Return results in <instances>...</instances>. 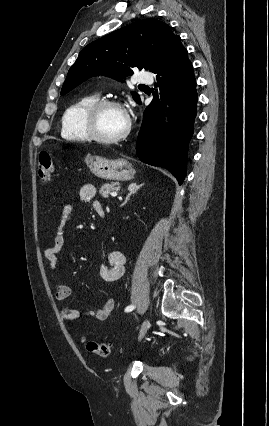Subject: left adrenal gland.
Wrapping results in <instances>:
<instances>
[{
  "label": "left adrenal gland",
  "instance_id": "a2214340",
  "mask_svg": "<svg viewBox=\"0 0 269 426\" xmlns=\"http://www.w3.org/2000/svg\"><path fill=\"white\" fill-rule=\"evenodd\" d=\"M143 186V184H140V185H137V183H131L129 186H128V191H129V193H128V195L126 196V199H125V201L123 202V204H122V206L123 205H125L128 201H129V199H130V197H131V195L132 194H135L141 187Z\"/></svg>",
  "mask_w": 269,
  "mask_h": 426
}]
</instances>
